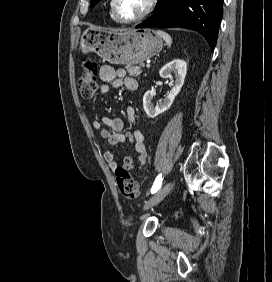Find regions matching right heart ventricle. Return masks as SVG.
<instances>
[{
  "label": "right heart ventricle",
  "instance_id": "1",
  "mask_svg": "<svg viewBox=\"0 0 272 282\" xmlns=\"http://www.w3.org/2000/svg\"><path fill=\"white\" fill-rule=\"evenodd\" d=\"M111 16H112V18L114 19V20H116V18L113 16V14H111ZM117 21V20H116Z\"/></svg>",
  "mask_w": 272,
  "mask_h": 282
}]
</instances>
